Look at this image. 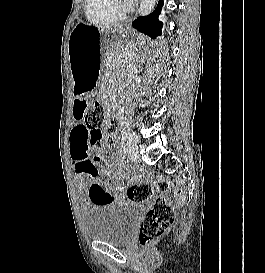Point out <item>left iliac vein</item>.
<instances>
[{"instance_id": "obj_1", "label": "left iliac vein", "mask_w": 265, "mask_h": 273, "mask_svg": "<svg viewBox=\"0 0 265 273\" xmlns=\"http://www.w3.org/2000/svg\"><path fill=\"white\" fill-rule=\"evenodd\" d=\"M127 146H128L127 152H128L129 158L132 161H137L139 159V154H138V148L136 145V141H128Z\"/></svg>"}]
</instances>
